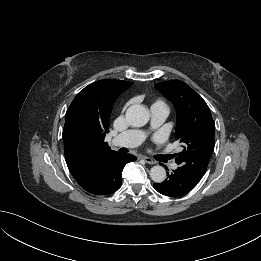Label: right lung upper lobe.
I'll return each mask as SVG.
<instances>
[{"label":"right lung upper lobe","mask_w":261,"mask_h":261,"mask_svg":"<svg viewBox=\"0 0 261 261\" xmlns=\"http://www.w3.org/2000/svg\"><path fill=\"white\" fill-rule=\"evenodd\" d=\"M133 83L106 79L81 90L66 112L63 129L65 159L75 179L98 160L115 152L104 141L109 131L112 107L118 96Z\"/></svg>","instance_id":"1"}]
</instances>
